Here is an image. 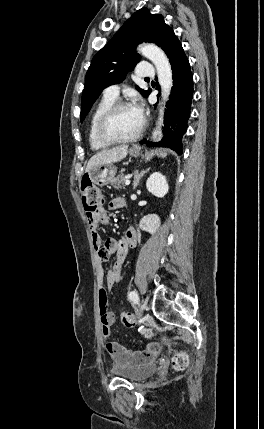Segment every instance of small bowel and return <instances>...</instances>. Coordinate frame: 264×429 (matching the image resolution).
<instances>
[{
    "label": "small bowel",
    "instance_id": "obj_1",
    "mask_svg": "<svg viewBox=\"0 0 264 429\" xmlns=\"http://www.w3.org/2000/svg\"><path fill=\"white\" fill-rule=\"evenodd\" d=\"M124 205L125 201L123 198L115 197L109 202L108 207L111 210H118L123 208ZM88 223L91 228L92 243L96 253L101 330L104 337L106 351L120 367L137 366L149 363L159 351V345L157 343H149L144 349L134 351L126 348L118 342L109 340L111 326L115 322V314L108 307L107 289L113 288L120 280L122 266L127 257L128 251L137 244V233L134 228L128 227L125 229L123 236L119 240L107 238L102 242V239L97 232V228L100 224L109 223V217L104 208H101L96 215L88 216ZM110 255L115 256V261L107 270L106 282L104 283L102 263Z\"/></svg>",
    "mask_w": 264,
    "mask_h": 429
}]
</instances>
